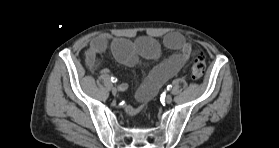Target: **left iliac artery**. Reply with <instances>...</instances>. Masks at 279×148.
<instances>
[{
	"instance_id": "left-iliac-artery-1",
	"label": "left iliac artery",
	"mask_w": 279,
	"mask_h": 148,
	"mask_svg": "<svg viewBox=\"0 0 279 148\" xmlns=\"http://www.w3.org/2000/svg\"><path fill=\"white\" fill-rule=\"evenodd\" d=\"M171 89H172V85H168L167 90H171Z\"/></svg>"
}]
</instances>
